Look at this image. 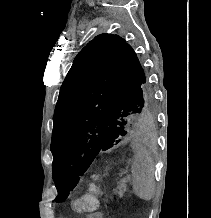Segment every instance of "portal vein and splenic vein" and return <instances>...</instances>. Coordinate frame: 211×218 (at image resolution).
Here are the masks:
<instances>
[{"label": "portal vein and splenic vein", "instance_id": "18ae733b", "mask_svg": "<svg viewBox=\"0 0 211 218\" xmlns=\"http://www.w3.org/2000/svg\"><path fill=\"white\" fill-rule=\"evenodd\" d=\"M124 174H125V175H128V172L126 171Z\"/></svg>", "mask_w": 211, "mask_h": 218}]
</instances>
